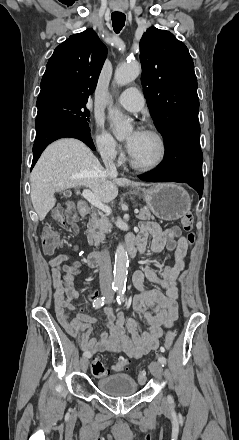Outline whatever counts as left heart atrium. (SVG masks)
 <instances>
[{
    "label": "left heart atrium",
    "mask_w": 239,
    "mask_h": 440,
    "mask_svg": "<svg viewBox=\"0 0 239 440\" xmlns=\"http://www.w3.org/2000/svg\"><path fill=\"white\" fill-rule=\"evenodd\" d=\"M143 133L144 131L141 128L137 127L133 130V132L129 136L127 140V149L130 153H132L135 150L136 145L139 139L141 138V136L143 135Z\"/></svg>",
    "instance_id": "obj_1"
}]
</instances>
